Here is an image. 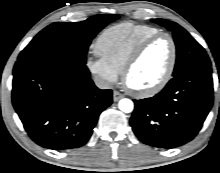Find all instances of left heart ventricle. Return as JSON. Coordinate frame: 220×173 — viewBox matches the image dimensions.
I'll return each mask as SVG.
<instances>
[{
    "instance_id": "b2bd125f",
    "label": "left heart ventricle",
    "mask_w": 220,
    "mask_h": 173,
    "mask_svg": "<svg viewBox=\"0 0 220 173\" xmlns=\"http://www.w3.org/2000/svg\"><path fill=\"white\" fill-rule=\"evenodd\" d=\"M171 58V45L162 37L151 43L128 75V85L144 90L155 85L165 74Z\"/></svg>"
}]
</instances>
